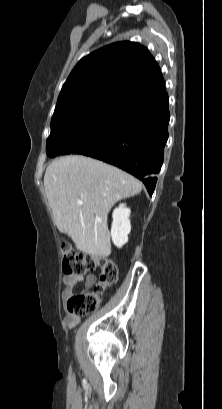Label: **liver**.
Masks as SVG:
<instances>
[{
  "label": "liver",
  "mask_w": 222,
  "mask_h": 409,
  "mask_svg": "<svg viewBox=\"0 0 222 409\" xmlns=\"http://www.w3.org/2000/svg\"><path fill=\"white\" fill-rule=\"evenodd\" d=\"M44 187L58 230L67 234L78 250L104 258L111 254L110 209L119 200L139 194L142 183L102 161L68 155L47 167ZM78 200L83 204L78 205Z\"/></svg>",
  "instance_id": "obj_1"
}]
</instances>
